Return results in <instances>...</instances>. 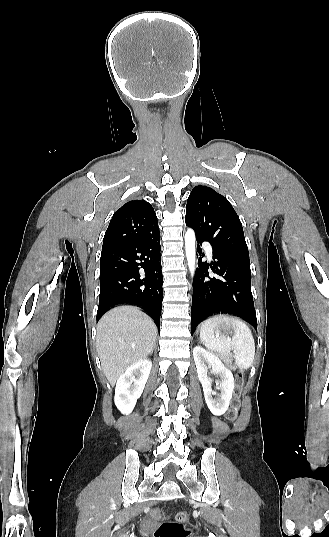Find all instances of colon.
Masks as SVG:
<instances>
[{
	"instance_id": "obj_1",
	"label": "colon",
	"mask_w": 329,
	"mask_h": 537,
	"mask_svg": "<svg viewBox=\"0 0 329 537\" xmlns=\"http://www.w3.org/2000/svg\"><path fill=\"white\" fill-rule=\"evenodd\" d=\"M243 374L238 373L236 375V389L234 397L231 402V406L227 411L226 418L229 421H234L237 418L240 407V395L243 385ZM155 518H164L167 513L164 511H155L153 513ZM190 519V513L188 511H181L176 515V521L165 520L159 524L154 532V537H189L191 529L186 525Z\"/></svg>"
}]
</instances>
